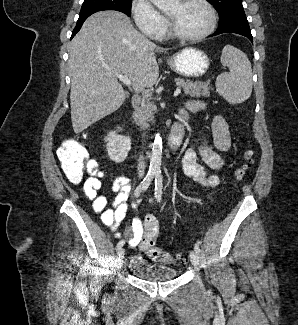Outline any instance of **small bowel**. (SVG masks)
Segmentation results:
<instances>
[{
	"mask_svg": "<svg viewBox=\"0 0 298 325\" xmlns=\"http://www.w3.org/2000/svg\"><path fill=\"white\" fill-rule=\"evenodd\" d=\"M212 133L216 149L220 152L227 151L231 146V136L227 122L221 115L214 117ZM200 155L205 165L198 161L197 154L193 149L187 150L182 159L184 173L197 184L203 186L218 185L219 177L217 175H209L206 166L211 169L221 168L223 165L221 156L209 146H203L200 150ZM105 175L106 172L99 167L89 173L83 184V192L86 198L92 202L94 212L101 214L102 223L119 237L120 233L117 232V229L128 211L127 200L131 192L130 180L125 176H119L114 179L111 188L114 198L109 203L106 196L98 194L102 188V179ZM128 233L130 235L129 244L133 247L137 246L143 235L142 222L139 218H134L131 221Z\"/></svg>",
	"mask_w": 298,
	"mask_h": 325,
	"instance_id": "c3829d8e",
	"label": "small bowel"
}]
</instances>
